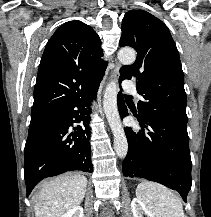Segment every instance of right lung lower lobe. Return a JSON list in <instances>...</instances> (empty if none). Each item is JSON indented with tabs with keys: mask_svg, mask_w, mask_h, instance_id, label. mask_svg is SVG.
I'll list each match as a JSON object with an SVG mask.
<instances>
[{
	"mask_svg": "<svg viewBox=\"0 0 211 217\" xmlns=\"http://www.w3.org/2000/svg\"><path fill=\"white\" fill-rule=\"evenodd\" d=\"M98 87L64 106L31 116L24 149L27 196L44 178L74 170L93 171L88 118L83 111ZM80 121L81 125H73Z\"/></svg>",
	"mask_w": 211,
	"mask_h": 217,
	"instance_id": "right-lung-lower-lobe-1",
	"label": "right lung lower lobe"
}]
</instances>
